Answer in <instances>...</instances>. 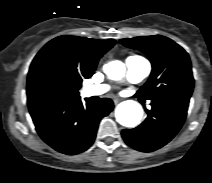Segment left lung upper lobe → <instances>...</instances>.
<instances>
[{"label": "left lung upper lobe", "instance_id": "1", "mask_svg": "<svg viewBox=\"0 0 212 183\" xmlns=\"http://www.w3.org/2000/svg\"><path fill=\"white\" fill-rule=\"evenodd\" d=\"M120 43L145 53L152 63L148 81L136 95L145 99H183L191 97L194 79L187 52L171 39L142 36L121 39Z\"/></svg>", "mask_w": 212, "mask_h": 183}]
</instances>
